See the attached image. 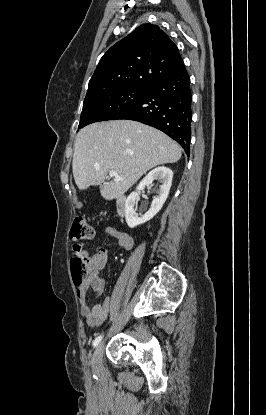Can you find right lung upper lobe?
I'll return each instance as SVG.
<instances>
[{
	"label": "right lung upper lobe",
	"mask_w": 266,
	"mask_h": 415,
	"mask_svg": "<svg viewBox=\"0 0 266 415\" xmlns=\"http://www.w3.org/2000/svg\"><path fill=\"white\" fill-rule=\"evenodd\" d=\"M184 68L178 48L169 36L157 25L143 24L102 56L86 97L118 87L149 89Z\"/></svg>",
	"instance_id": "obj_1"
}]
</instances>
